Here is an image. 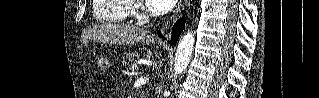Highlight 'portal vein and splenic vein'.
Here are the masks:
<instances>
[{"instance_id": "portal-vein-and-splenic-vein-1", "label": "portal vein and splenic vein", "mask_w": 319, "mask_h": 98, "mask_svg": "<svg viewBox=\"0 0 319 98\" xmlns=\"http://www.w3.org/2000/svg\"><path fill=\"white\" fill-rule=\"evenodd\" d=\"M130 70L132 72H137L139 70V67H138L137 64H133V65L130 66Z\"/></svg>"}]
</instances>
